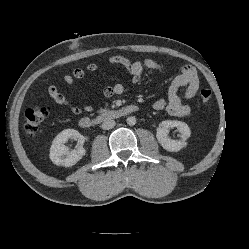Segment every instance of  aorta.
I'll list each match as a JSON object with an SVG mask.
<instances>
[{
    "label": "aorta",
    "mask_w": 249,
    "mask_h": 249,
    "mask_svg": "<svg viewBox=\"0 0 249 249\" xmlns=\"http://www.w3.org/2000/svg\"><path fill=\"white\" fill-rule=\"evenodd\" d=\"M135 123H136L135 117L131 116V117L127 118V124L128 125L133 126V125H135Z\"/></svg>",
    "instance_id": "1"
}]
</instances>
